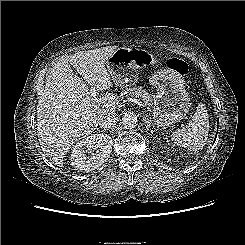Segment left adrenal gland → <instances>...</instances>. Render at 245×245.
Returning <instances> with one entry per match:
<instances>
[{
	"mask_svg": "<svg viewBox=\"0 0 245 245\" xmlns=\"http://www.w3.org/2000/svg\"><path fill=\"white\" fill-rule=\"evenodd\" d=\"M143 121L146 123V128L148 129L150 126L155 127L151 120L147 118L146 115H143Z\"/></svg>",
	"mask_w": 245,
	"mask_h": 245,
	"instance_id": "a2214340",
	"label": "left adrenal gland"
}]
</instances>
